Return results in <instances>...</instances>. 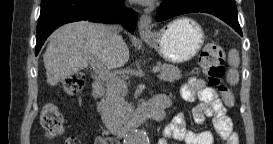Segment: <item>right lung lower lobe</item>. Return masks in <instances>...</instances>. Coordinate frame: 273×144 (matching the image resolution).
Wrapping results in <instances>:
<instances>
[{"label": "right lung lower lobe", "instance_id": "obj_1", "mask_svg": "<svg viewBox=\"0 0 273 144\" xmlns=\"http://www.w3.org/2000/svg\"><path fill=\"white\" fill-rule=\"evenodd\" d=\"M124 0H42L37 24V55L47 37L59 26L75 21L116 23L122 19L124 28L131 33L137 25L132 9L124 11Z\"/></svg>", "mask_w": 273, "mask_h": 144}]
</instances>
